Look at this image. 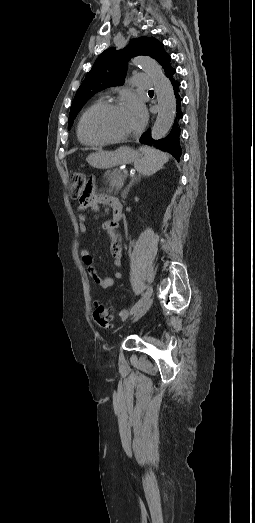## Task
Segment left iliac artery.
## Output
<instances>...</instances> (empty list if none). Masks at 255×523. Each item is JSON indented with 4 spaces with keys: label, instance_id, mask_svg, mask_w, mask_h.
<instances>
[{
    "label": "left iliac artery",
    "instance_id": "obj_1",
    "mask_svg": "<svg viewBox=\"0 0 255 523\" xmlns=\"http://www.w3.org/2000/svg\"><path fill=\"white\" fill-rule=\"evenodd\" d=\"M152 293H153V288H150V289L148 288V290L143 295V297L131 308L130 315L135 313L150 298Z\"/></svg>",
    "mask_w": 255,
    "mask_h": 523
}]
</instances>
